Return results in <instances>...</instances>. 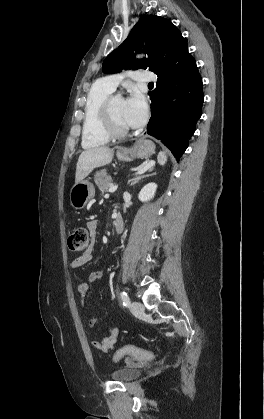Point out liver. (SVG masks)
<instances>
[{
    "label": "liver",
    "instance_id": "1",
    "mask_svg": "<svg viewBox=\"0 0 264 419\" xmlns=\"http://www.w3.org/2000/svg\"><path fill=\"white\" fill-rule=\"evenodd\" d=\"M114 155V149L100 146L84 150L77 162L75 183L81 182L94 168L109 164Z\"/></svg>",
    "mask_w": 264,
    "mask_h": 419
}]
</instances>
